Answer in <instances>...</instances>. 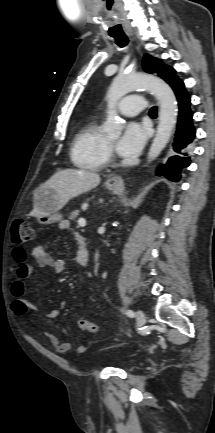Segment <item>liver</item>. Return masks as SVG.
Segmentation results:
<instances>
[{"instance_id": "1", "label": "liver", "mask_w": 215, "mask_h": 433, "mask_svg": "<svg viewBox=\"0 0 215 433\" xmlns=\"http://www.w3.org/2000/svg\"><path fill=\"white\" fill-rule=\"evenodd\" d=\"M100 180V176L94 172L64 169L57 171L41 187L52 189L56 194L59 206L62 208L70 199L98 186ZM31 215L34 217L40 215L35 206Z\"/></svg>"}]
</instances>
